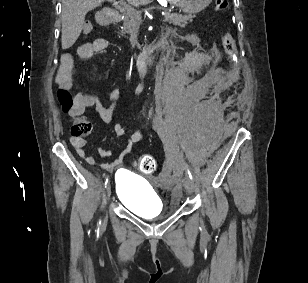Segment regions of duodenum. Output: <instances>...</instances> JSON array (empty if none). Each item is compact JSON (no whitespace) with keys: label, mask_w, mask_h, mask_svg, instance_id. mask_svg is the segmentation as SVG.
Wrapping results in <instances>:
<instances>
[{"label":"duodenum","mask_w":308,"mask_h":283,"mask_svg":"<svg viewBox=\"0 0 308 283\" xmlns=\"http://www.w3.org/2000/svg\"><path fill=\"white\" fill-rule=\"evenodd\" d=\"M122 19V14L119 10L111 9L106 12H104L100 17V23L103 25H107L110 23L119 22ZM150 53V50L148 48H145L143 52L138 56L137 59V67L138 69H143L146 64V60L148 58V54Z\"/></svg>","instance_id":"410a0bca"}]
</instances>
